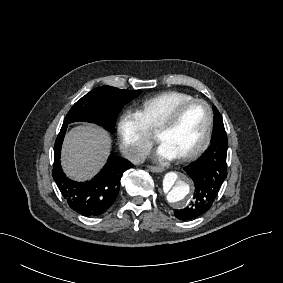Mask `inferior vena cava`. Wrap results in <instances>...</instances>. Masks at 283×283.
Wrapping results in <instances>:
<instances>
[{
    "label": "inferior vena cava",
    "mask_w": 283,
    "mask_h": 283,
    "mask_svg": "<svg viewBox=\"0 0 283 283\" xmlns=\"http://www.w3.org/2000/svg\"><path fill=\"white\" fill-rule=\"evenodd\" d=\"M147 150L137 147L131 146L129 150L125 153V158L134 165H139L144 163L147 157Z\"/></svg>",
    "instance_id": "602c4592"
}]
</instances>
